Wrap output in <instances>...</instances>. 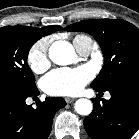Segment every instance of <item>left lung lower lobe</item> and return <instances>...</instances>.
I'll return each mask as SVG.
<instances>
[{
    "label": "left lung lower lobe",
    "mask_w": 139,
    "mask_h": 139,
    "mask_svg": "<svg viewBox=\"0 0 139 139\" xmlns=\"http://www.w3.org/2000/svg\"><path fill=\"white\" fill-rule=\"evenodd\" d=\"M107 91L110 100L92 99L94 108L84 119L85 130L92 139H130L139 128V71L125 75Z\"/></svg>",
    "instance_id": "0a47b994"
}]
</instances>
